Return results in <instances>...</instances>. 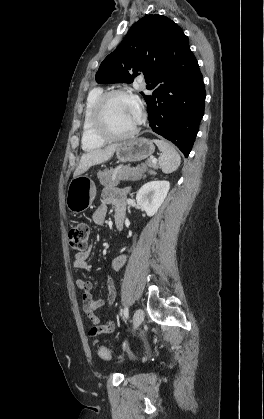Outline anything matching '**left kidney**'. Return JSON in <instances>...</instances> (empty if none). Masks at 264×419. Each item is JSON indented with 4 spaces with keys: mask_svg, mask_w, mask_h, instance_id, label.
<instances>
[{
    "mask_svg": "<svg viewBox=\"0 0 264 419\" xmlns=\"http://www.w3.org/2000/svg\"><path fill=\"white\" fill-rule=\"evenodd\" d=\"M170 184L165 180H154L145 183L137 192L136 200L147 216H153L164 202Z\"/></svg>",
    "mask_w": 264,
    "mask_h": 419,
    "instance_id": "obj_1",
    "label": "left kidney"
}]
</instances>
